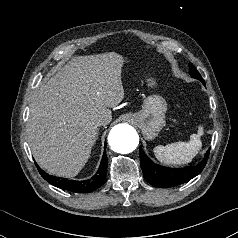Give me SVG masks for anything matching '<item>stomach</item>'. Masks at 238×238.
<instances>
[{
  "label": "stomach",
  "instance_id": "0dacf381",
  "mask_svg": "<svg viewBox=\"0 0 238 238\" xmlns=\"http://www.w3.org/2000/svg\"><path fill=\"white\" fill-rule=\"evenodd\" d=\"M124 62H128L125 58ZM155 82L150 80L149 85ZM167 103L159 95H151L145 98L142 109L134 114H129V118L141 129L147 140L154 139L165 125V114Z\"/></svg>",
  "mask_w": 238,
  "mask_h": 238
}]
</instances>
